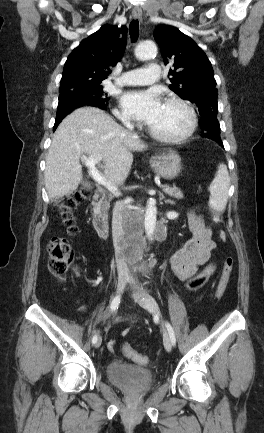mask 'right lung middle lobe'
<instances>
[{
	"label": "right lung middle lobe",
	"instance_id": "right-lung-middle-lobe-1",
	"mask_svg": "<svg viewBox=\"0 0 264 433\" xmlns=\"http://www.w3.org/2000/svg\"><path fill=\"white\" fill-rule=\"evenodd\" d=\"M89 102L106 107L108 96L102 85L76 88L60 94L56 118L65 117L72 110Z\"/></svg>",
	"mask_w": 264,
	"mask_h": 433
}]
</instances>
